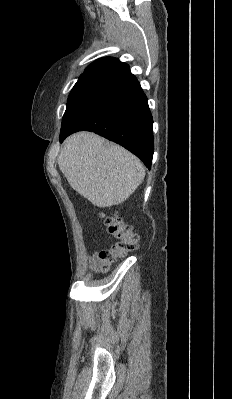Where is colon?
Wrapping results in <instances>:
<instances>
[{"label": "colon", "instance_id": "1", "mask_svg": "<svg viewBox=\"0 0 232 399\" xmlns=\"http://www.w3.org/2000/svg\"><path fill=\"white\" fill-rule=\"evenodd\" d=\"M98 222L106 224L108 234H112V249H104L96 252V265L98 270L105 271L106 266L113 262V256L120 257L129 255V252H137V232L131 231V223L121 222V217L107 218V211L103 206H98ZM126 228V229H125Z\"/></svg>", "mask_w": 232, "mask_h": 399}]
</instances>
